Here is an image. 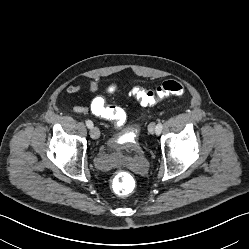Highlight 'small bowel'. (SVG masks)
Here are the masks:
<instances>
[{
	"label": "small bowel",
	"instance_id": "obj_1",
	"mask_svg": "<svg viewBox=\"0 0 249 249\" xmlns=\"http://www.w3.org/2000/svg\"><path fill=\"white\" fill-rule=\"evenodd\" d=\"M99 87V80L94 79L88 84V92L95 95L98 92ZM108 91H114V86H109ZM66 92L69 94H81L83 89L80 86L70 84L66 87ZM88 111L99 118L115 121L117 124L124 122L126 119V115L121 108L108 104L105 98L101 95L94 96L89 105H76L73 107V112L76 114H85ZM140 167L143 169L144 164L141 163Z\"/></svg>",
	"mask_w": 249,
	"mask_h": 249
}]
</instances>
